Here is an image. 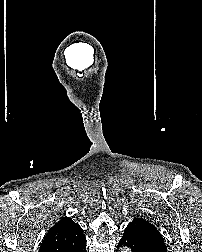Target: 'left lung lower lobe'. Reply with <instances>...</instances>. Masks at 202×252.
<instances>
[{"mask_svg":"<svg viewBox=\"0 0 202 252\" xmlns=\"http://www.w3.org/2000/svg\"><path fill=\"white\" fill-rule=\"evenodd\" d=\"M117 247H130L132 252H167L163 237L155 226L137 220L125 228Z\"/></svg>","mask_w":202,"mask_h":252,"instance_id":"1","label":"left lung lower lobe"}]
</instances>
